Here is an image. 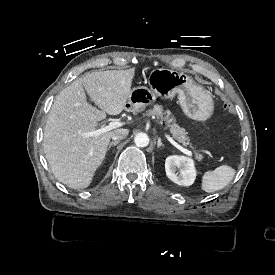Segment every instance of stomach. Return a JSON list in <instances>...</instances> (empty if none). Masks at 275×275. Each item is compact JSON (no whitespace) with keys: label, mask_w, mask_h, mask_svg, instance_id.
I'll return each mask as SVG.
<instances>
[{"label":"stomach","mask_w":275,"mask_h":275,"mask_svg":"<svg viewBox=\"0 0 275 275\" xmlns=\"http://www.w3.org/2000/svg\"><path fill=\"white\" fill-rule=\"evenodd\" d=\"M143 79L149 88L138 86L131 90L125 106L127 111L141 112L154 105L157 98L166 100L177 95L181 110L189 119L205 123L214 114L212 93L187 74L148 67L143 72Z\"/></svg>","instance_id":"0dacf381"}]
</instances>
